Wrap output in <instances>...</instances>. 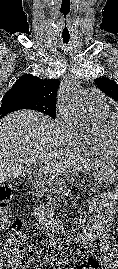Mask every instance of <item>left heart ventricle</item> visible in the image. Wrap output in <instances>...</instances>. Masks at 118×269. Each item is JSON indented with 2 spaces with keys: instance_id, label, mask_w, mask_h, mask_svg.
I'll return each mask as SVG.
<instances>
[{
  "instance_id": "b2bd125f",
  "label": "left heart ventricle",
  "mask_w": 118,
  "mask_h": 269,
  "mask_svg": "<svg viewBox=\"0 0 118 269\" xmlns=\"http://www.w3.org/2000/svg\"><path fill=\"white\" fill-rule=\"evenodd\" d=\"M113 135H114L116 142H118V123L115 125Z\"/></svg>"
}]
</instances>
